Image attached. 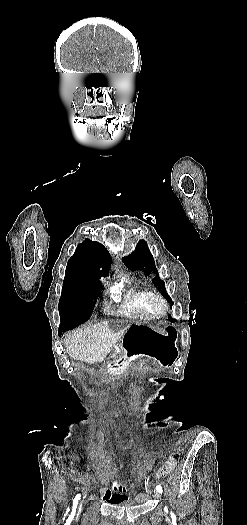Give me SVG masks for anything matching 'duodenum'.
Listing matches in <instances>:
<instances>
[{"label":"duodenum","instance_id":"410a0bca","mask_svg":"<svg viewBox=\"0 0 247 525\" xmlns=\"http://www.w3.org/2000/svg\"><path fill=\"white\" fill-rule=\"evenodd\" d=\"M131 363L130 362H116L107 365L105 368V371L107 374L110 375H118L121 373H124L130 369Z\"/></svg>","mask_w":247,"mask_h":525}]
</instances>
